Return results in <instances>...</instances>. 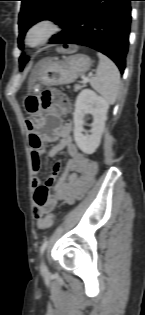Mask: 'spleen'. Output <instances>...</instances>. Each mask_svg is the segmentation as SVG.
<instances>
[{
	"instance_id": "1",
	"label": "spleen",
	"mask_w": 145,
	"mask_h": 315,
	"mask_svg": "<svg viewBox=\"0 0 145 315\" xmlns=\"http://www.w3.org/2000/svg\"><path fill=\"white\" fill-rule=\"evenodd\" d=\"M98 57L96 76L90 79V85L108 104H113L120 90V73L108 57L101 53H98Z\"/></svg>"
}]
</instances>
